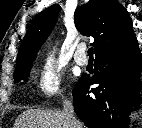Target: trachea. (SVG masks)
<instances>
[{
  "label": "trachea",
  "mask_w": 142,
  "mask_h": 128,
  "mask_svg": "<svg viewBox=\"0 0 142 128\" xmlns=\"http://www.w3.org/2000/svg\"><path fill=\"white\" fill-rule=\"evenodd\" d=\"M88 56L93 58V48L88 49Z\"/></svg>",
  "instance_id": "obj_1"
}]
</instances>
